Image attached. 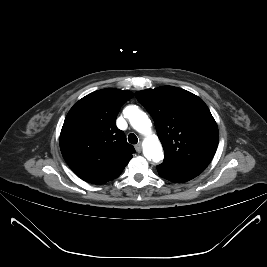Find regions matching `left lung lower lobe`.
Returning <instances> with one entry per match:
<instances>
[{
	"mask_svg": "<svg viewBox=\"0 0 267 267\" xmlns=\"http://www.w3.org/2000/svg\"><path fill=\"white\" fill-rule=\"evenodd\" d=\"M156 168L161 177L176 183H183L196 177V175L189 172L164 164H160Z\"/></svg>",
	"mask_w": 267,
	"mask_h": 267,
	"instance_id": "obj_1",
	"label": "left lung lower lobe"
}]
</instances>
